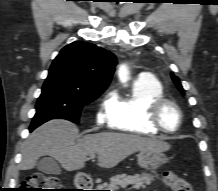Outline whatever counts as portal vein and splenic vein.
<instances>
[{
	"instance_id": "1",
	"label": "portal vein and splenic vein",
	"mask_w": 218,
	"mask_h": 191,
	"mask_svg": "<svg viewBox=\"0 0 218 191\" xmlns=\"http://www.w3.org/2000/svg\"><path fill=\"white\" fill-rule=\"evenodd\" d=\"M90 158H91V159H94V158H95V155H93V154L90 155Z\"/></svg>"
}]
</instances>
